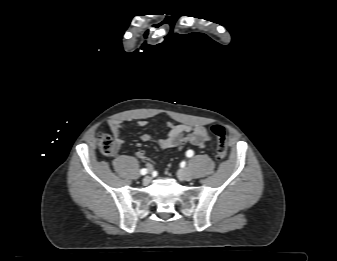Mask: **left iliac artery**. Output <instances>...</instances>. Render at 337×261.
Segmentation results:
<instances>
[{"label":"left iliac artery","instance_id":"44dca946","mask_svg":"<svg viewBox=\"0 0 337 261\" xmlns=\"http://www.w3.org/2000/svg\"><path fill=\"white\" fill-rule=\"evenodd\" d=\"M194 155V152L192 151V150H188L187 152H186V156L187 157H192Z\"/></svg>","mask_w":337,"mask_h":261}]
</instances>
